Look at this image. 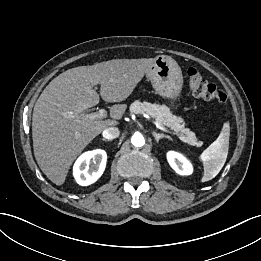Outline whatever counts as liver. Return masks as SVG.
I'll return each instance as SVG.
<instances>
[{"instance_id": "obj_1", "label": "liver", "mask_w": 261, "mask_h": 261, "mask_svg": "<svg viewBox=\"0 0 261 261\" xmlns=\"http://www.w3.org/2000/svg\"><path fill=\"white\" fill-rule=\"evenodd\" d=\"M154 58L114 59L69 69L54 78L35 103L33 150L42 172L56 185L65 182L76 157L109 126L118 125L127 106L110 108L111 119L90 120L85 111L99 103L93 89L110 103L126 100L153 65Z\"/></svg>"}]
</instances>
